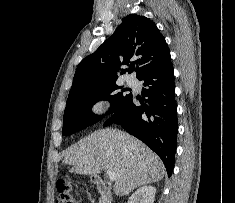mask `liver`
<instances>
[{"mask_svg":"<svg viewBox=\"0 0 235 203\" xmlns=\"http://www.w3.org/2000/svg\"><path fill=\"white\" fill-rule=\"evenodd\" d=\"M71 172L97 175L103 170L119 174L114 184L118 196L135 188L158 182L165 175L161 159L144 143L126 132L96 130L70 147L63 160Z\"/></svg>","mask_w":235,"mask_h":203,"instance_id":"obj_1","label":"liver"}]
</instances>
